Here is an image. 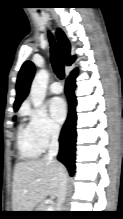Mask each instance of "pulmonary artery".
Segmentation results:
<instances>
[{"instance_id":"1","label":"pulmonary artery","mask_w":123,"mask_h":219,"mask_svg":"<svg viewBox=\"0 0 123 219\" xmlns=\"http://www.w3.org/2000/svg\"><path fill=\"white\" fill-rule=\"evenodd\" d=\"M49 90L53 94H59V93L62 92L63 88H62V85L59 82H53L50 85Z\"/></svg>"}]
</instances>
